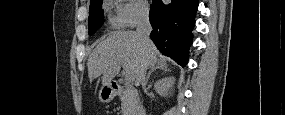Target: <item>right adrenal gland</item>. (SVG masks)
<instances>
[{"mask_svg": "<svg viewBox=\"0 0 285 115\" xmlns=\"http://www.w3.org/2000/svg\"><path fill=\"white\" fill-rule=\"evenodd\" d=\"M156 70H161V71H163V72H168V71H170V70L168 69V67H167L166 64H163V63H158V64H156V65H155L153 68H151V70L148 72L147 77H146V79H145V84H144V85L147 84V82H148V80H149L151 74H152L153 72H155Z\"/></svg>", "mask_w": 285, "mask_h": 115, "instance_id": "2a0ac1e0", "label": "right adrenal gland"}]
</instances>
